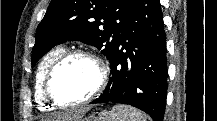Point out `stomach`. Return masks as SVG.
<instances>
[{
	"label": "stomach",
	"mask_w": 217,
	"mask_h": 121,
	"mask_svg": "<svg viewBox=\"0 0 217 121\" xmlns=\"http://www.w3.org/2000/svg\"><path fill=\"white\" fill-rule=\"evenodd\" d=\"M84 121H100V119L95 116H89L85 118Z\"/></svg>",
	"instance_id": "0dacf381"
}]
</instances>
